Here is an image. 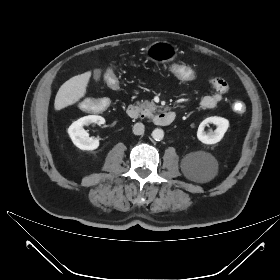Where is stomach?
Segmentation results:
<instances>
[{"instance_id":"stomach-1","label":"stomach","mask_w":280,"mask_h":280,"mask_svg":"<svg viewBox=\"0 0 280 280\" xmlns=\"http://www.w3.org/2000/svg\"><path fill=\"white\" fill-rule=\"evenodd\" d=\"M177 52V47L167 41H156L147 47L149 58L155 62L173 61Z\"/></svg>"}]
</instances>
